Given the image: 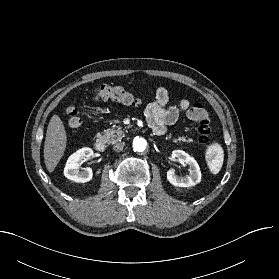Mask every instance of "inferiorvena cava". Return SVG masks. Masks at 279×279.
I'll return each instance as SVG.
<instances>
[{"instance_id": "obj_1", "label": "inferior vena cava", "mask_w": 279, "mask_h": 279, "mask_svg": "<svg viewBox=\"0 0 279 279\" xmlns=\"http://www.w3.org/2000/svg\"><path fill=\"white\" fill-rule=\"evenodd\" d=\"M124 146H125L124 142H119L113 146V150L116 152H120L123 150Z\"/></svg>"}]
</instances>
